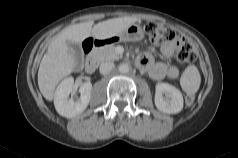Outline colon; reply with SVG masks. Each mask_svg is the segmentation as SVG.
I'll return each mask as SVG.
<instances>
[{
  "label": "colon",
  "mask_w": 238,
  "mask_h": 158,
  "mask_svg": "<svg viewBox=\"0 0 238 158\" xmlns=\"http://www.w3.org/2000/svg\"><path fill=\"white\" fill-rule=\"evenodd\" d=\"M145 31L148 34L149 41L155 46L162 45L166 42L179 41L180 48L177 58L182 63H193L197 59V54L193 46L181 38L173 29L155 22H148L145 25ZM89 42V41H88ZM185 103L191 105L194 101V95L185 93Z\"/></svg>",
  "instance_id": "colon-1"
}]
</instances>
